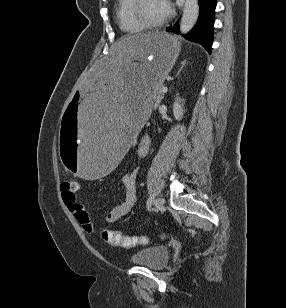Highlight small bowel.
Segmentation results:
<instances>
[{
  "label": "small bowel",
  "instance_id": "1",
  "mask_svg": "<svg viewBox=\"0 0 286 308\" xmlns=\"http://www.w3.org/2000/svg\"><path fill=\"white\" fill-rule=\"evenodd\" d=\"M149 139L143 138L139 141L137 154L139 157H145L149 151ZM137 171H132L124 174L121 178L122 186L125 190L124 200L115 206L106 216L108 223H115L123 216L127 215L133 208L136 202V186H137ZM63 200L69 207L71 213L76 218L81 227L89 234L95 233V225L89 217L84 206L77 201V195L74 197L63 194Z\"/></svg>",
  "mask_w": 286,
  "mask_h": 308
}]
</instances>
